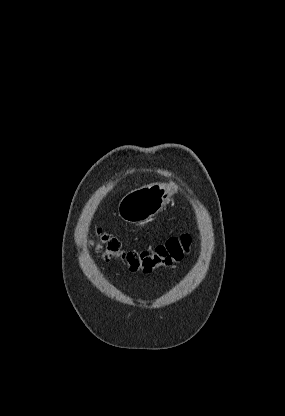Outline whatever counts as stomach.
I'll return each mask as SVG.
<instances>
[{
    "label": "stomach",
    "mask_w": 285,
    "mask_h": 416,
    "mask_svg": "<svg viewBox=\"0 0 285 416\" xmlns=\"http://www.w3.org/2000/svg\"><path fill=\"white\" fill-rule=\"evenodd\" d=\"M178 186L170 184H150L126 194L118 204V216L124 222L140 224L156 216L170 202Z\"/></svg>",
    "instance_id": "1"
}]
</instances>
